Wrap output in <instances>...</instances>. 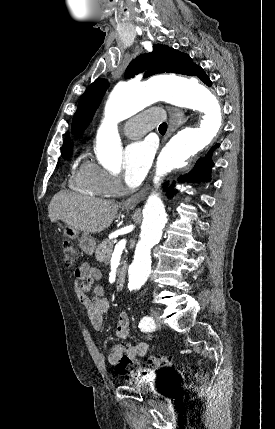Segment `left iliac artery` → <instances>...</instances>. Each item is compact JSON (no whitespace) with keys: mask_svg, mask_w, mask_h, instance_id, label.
<instances>
[{"mask_svg":"<svg viewBox=\"0 0 275 429\" xmlns=\"http://www.w3.org/2000/svg\"><path fill=\"white\" fill-rule=\"evenodd\" d=\"M154 327H155L154 321H153V319H152L151 317H149V316H145V317H143V318L141 319L140 323H139V328H140L142 331H146V332H148V331L153 330V329H154Z\"/></svg>","mask_w":275,"mask_h":429,"instance_id":"left-iliac-artery-1","label":"left iliac artery"}]
</instances>
